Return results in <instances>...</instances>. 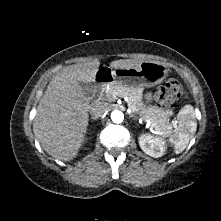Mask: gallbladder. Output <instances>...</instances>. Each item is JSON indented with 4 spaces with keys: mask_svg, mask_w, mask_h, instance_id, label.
Here are the masks:
<instances>
[{
    "mask_svg": "<svg viewBox=\"0 0 221 221\" xmlns=\"http://www.w3.org/2000/svg\"><path fill=\"white\" fill-rule=\"evenodd\" d=\"M80 84H81V86L83 88L84 93L87 96L92 95V93H93V86L91 84L84 83V82H81Z\"/></svg>",
    "mask_w": 221,
    "mask_h": 221,
    "instance_id": "gallbladder-1",
    "label": "gallbladder"
}]
</instances>
